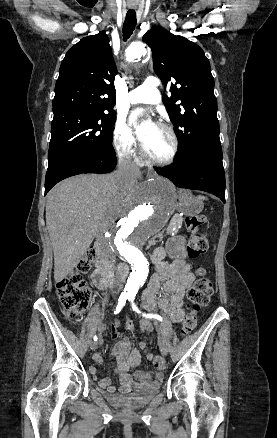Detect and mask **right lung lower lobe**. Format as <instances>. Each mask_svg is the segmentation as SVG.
Masks as SVG:
<instances>
[{"instance_id": "98d812e1", "label": "right lung lower lobe", "mask_w": 277, "mask_h": 438, "mask_svg": "<svg viewBox=\"0 0 277 438\" xmlns=\"http://www.w3.org/2000/svg\"><path fill=\"white\" fill-rule=\"evenodd\" d=\"M117 163L115 153L99 152L63 160L48 168L45 195L59 181L82 173H109Z\"/></svg>"}]
</instances>
